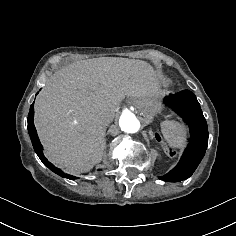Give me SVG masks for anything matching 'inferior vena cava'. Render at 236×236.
I'll list each match as a JSON object with an SVG mask.
<instances>
[{"label":"inferior vena cava","instance_id":"obj_1","mask_svg":"<svg viewBox=\"0 0 236 236\" xmlns=\"http://www.w3.org/2000/svg\"><path fill=\"white\" fill-rule=\"evenodd\" d=\"M104 121H105V123L110 124V123H112L113 118H112V116L107 115V116H105Z\"/></svg>","mask_w":236,"mask_h":236}]
</instances>
